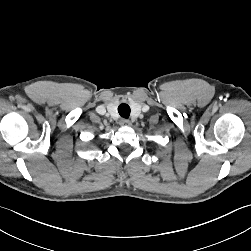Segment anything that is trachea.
I'll return each mask as SVG.
<instances>
[{
  "mask_svg": "<svg viewBox=\"0 0 251 251\" xmlns=\"http://www.w3.org/2000/svg\"><path fill=\"white\" fill-rule=\"evenodd\" d=\"M118 112L121 117L128 119L130 116V107L128 104L122 103L118 107Z\"/></svg>",
  "mask_w": 251,
  "mask_h": 251,
  "instance_id": "obj_1",
  "label": "trachea"
}]
</instances>
